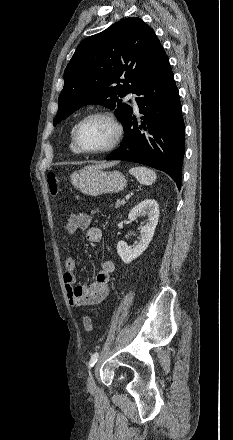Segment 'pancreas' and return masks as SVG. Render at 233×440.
<instances>
[{"label": "pancreas", "mask_w": 233, "mask_h": 440, "mask_svg": "<svg viewBox=\"0 0 233 440\" xmlns=\"http://www.w3.org/2000/svg\"><path fill=\"white\" fill-rule=\"evenodd\" d=\"M125 201L124 200H117L115 203V208H118L120 205H124Z\"/></svg>", "instance_id": "obj_1"}]
</instances>
